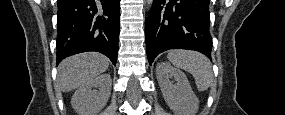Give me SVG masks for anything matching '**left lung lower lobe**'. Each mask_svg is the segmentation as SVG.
Instances as JSON below:
<instances>
[{
  "instance_id": "1",
  "label": "left lung lower lobe",
  "mask_w": 285,
  "mask_h": 115,
  "mask_svg": "<svg viewBox=\"0 0 285 115\" xmlns=\"http://www.w3.org/2000/svg\"><path fill=\"white\" fill-rule=\"evenodd\" d=\"M209 0H154L145 21L150 65L167 49H190L210 58Z\"/></svg>"
}]
</instances>
